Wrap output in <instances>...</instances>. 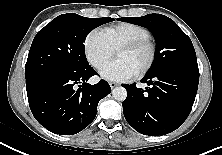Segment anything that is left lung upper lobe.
Instances as JSON below:
<instances>
[{
  "label": "left lung upper lobe",
  "instance_id": "1",
  "mask_svg": "<svg viewBox=\"0 0 222 155\" xmlns=\"http://www.w3.org/2000/svg\"><path fill=\"white\" fill-rule=\"evenodd\" d=\"M119 20L146 27L153 34L156 53L149 72L172 67L198 71L196 53L190 38L170 18L161 14H148Z\"/></svg>",
  "mask_w": 222,
  "mask_h": 155
}]
</instances>
